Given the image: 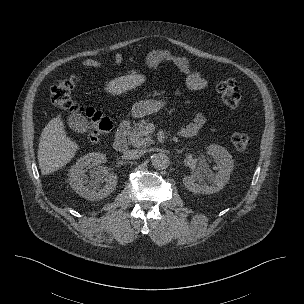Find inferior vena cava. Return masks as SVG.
Wrapping results in <instances>:
<instances>
[{
	"mask_svg": "<svg viewBox=\"0 0 304 304\" xmlns=\"http://www.w3.org/2000/svg\"><path fill=\"white\" fill-rule=\"evenodd\" d=\"M144 154L143 150H128L124 153L126 159L134 160L140 158Z\"/></svg>",
	"mask_w": 304,
	"mask_h": 304,
	"instance_id": "inferior-vena-cava-1",
	"label": "inferior vena cava"
}]
</instances>
